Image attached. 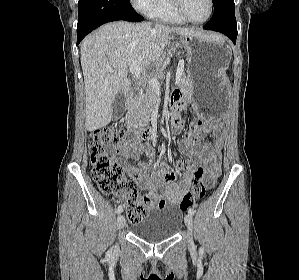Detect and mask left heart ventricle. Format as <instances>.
I'll return each instance as SVG.
<instances>
[{"label":"left heart ventricle","instance_id":"obj_1","mask_svg":"<svg viewBox=\"0 0 299 280\" xmlns=\"http://www.w3.org/2000/svg\"><path fill=\"white\" fill-rule=\"evenodd\" d=\"M186 14L193 20L204 19L209 11L208 0H183Z\"/></svg>","mask_w":299,"mask_h":280}]
</instances>
